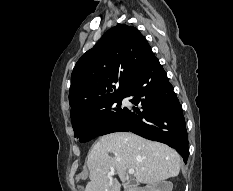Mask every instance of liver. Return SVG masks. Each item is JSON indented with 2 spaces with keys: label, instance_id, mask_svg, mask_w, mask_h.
Segmentation results:
<instances>
[{
  "label": "liver",
  "instance_id": "6515ba94",
  "mask_svg": "<svg viewBox=\"0 0 233 191\" xmlns=\"http://www.w3.org/2000/svg\"><path fill=\"white\" fill-rule=\"evenodd\" d=\"M90 182L85 191H120L121 184L109 173L117 172L123 185L127 170L134 169L138 183L154 185L178 176L179 154L169 146L147 140L130 132L104 135L92 146L87 156Z\"/></svg>",
  "mask_w": 233,
  "mask_h": 191
}]
</instances>
